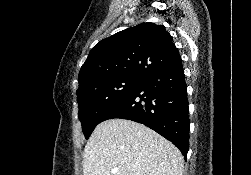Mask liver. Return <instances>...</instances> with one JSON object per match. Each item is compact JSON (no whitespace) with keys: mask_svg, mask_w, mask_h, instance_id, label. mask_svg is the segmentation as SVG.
Instances as JSON below:
<instances>
[{"mask_svg":"<svg viewBox=\"0 0 251 175\" xmlns=\"http://www.w3.org/2000/svg\"><path fill=\"white\" fill-rule=\"evenodd\" d=\"M183 161L178 147L143 123L107 119L91 133L82 163L83 175H183Z\"/></svg>","mask_w":251,"mask_h":175,"instance_id":"liver-1","label":"liver"}]
</instances>
